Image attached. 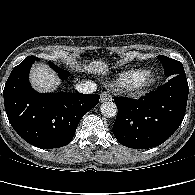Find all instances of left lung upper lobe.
<instances>
[{
	"label": "left lung upper lobe",
	"mask_w": 195,
	"mask_h": 195,
	"mask_svg": "<svg viewBox=\"0 0 195 195\" xmlns=\"http://www.w3.org/2000/svg\"><path fill=\"white\" fill-rule=\"evenodd\" d=\"M158 59L162 63L164 74L167 77H172L175 75H186L181 62L163 55L158 56Z\"/></svg>",
	"instance_id": "5c2ea615"
}]
</instances>
